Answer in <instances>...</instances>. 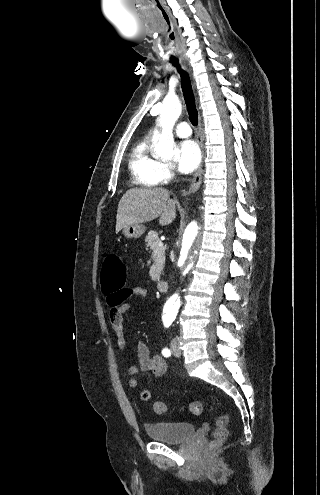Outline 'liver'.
<instances>
[{
	"label": "liver",
	"instance_id": "obj_1",
	"mask_svg": "<svg viewBox=\"0 0 320 495\" xmlns=\"http://www.w3.org/2000/svg\"><path fill=\"white\" fill-rule=\"evenodd\" d=\"M159 217L160 225H168L176 218V201L162 188H134L128 190L118 204L116 234L131 224L150 222Z\"/></svg>",
	"mask_w": 320,
	"mask_h": 495
}]
</instances>
